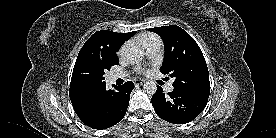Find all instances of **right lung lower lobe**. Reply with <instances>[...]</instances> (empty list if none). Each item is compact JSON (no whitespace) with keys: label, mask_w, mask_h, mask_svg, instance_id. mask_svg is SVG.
Returning <instances> with one entry per match:
<instances>
[{"label":"right lung lower lobe","mask_w":276,"mask_h":138,"mask_svg":"<svg viewBox=\"0 0 276 138\" xmlns=\"http://www.w3.org/2000/svg\"><path fill=\"white\" fill-rule=\"evenodd\" d=\"M134 84L129 81L114 90H106V84L98 89L87 102L86 112L78 114L81 121L94 129H106L123 119Z\"/></svg>","instance_id":"1"}]
</instances>
